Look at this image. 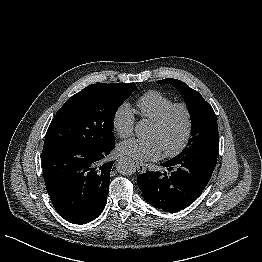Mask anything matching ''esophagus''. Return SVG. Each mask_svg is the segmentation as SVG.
Returning a JSON list of instances; mask_svg holds the SVG:
<instances>
[{"mask_svg": "<svg viewBox=\"0 0 262 262\" xmlns=\"http://www.w3.org/2000/svg\"><path fill=\"white\" fill-rule=\"evenodd\" d=\"M136 167H137L138 172L140 173L146 172V167L143 165V163L136 162Z\"/></svg>", "mask_w": 262, "mask_h": 262, "instance_id": "34e87169", "label": "esophagus"}]
</instances>
